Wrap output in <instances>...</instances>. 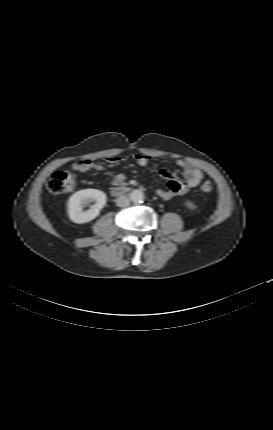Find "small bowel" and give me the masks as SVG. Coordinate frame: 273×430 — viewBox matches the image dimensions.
I'll use <instances>...</instances> for the list:
<instances>
[{"label": "small bowel", "instance_id": "1", "mask_svg": "<svg viewBox=\"0 0 273 430\" xmlns=\"http://www.w3.org/2000/svg\"><path fill=\"white\" fill-rule=\"evenodd\" d=\"M135 159L137 164L141 167H146L150 161L149 156L142 154L137 155ZM120 160L121 158L118 156H111L106 159V161L110 164H116L120 162ZM176 164L182 169L184 180H179L176 178L175 173L164 170L162 175L167 180V188H158L155 190L156 195L163 200H169L175 196L185 194L192 188L198 186L203 178L202 170L195 167L194 165L182 159H178ZM90 167H95L99 171L102 169L98 159H83L74 164V168L79 171L86 170ZM124 181L125 176L123 174H116L113 178V183L115 185H120Z\"/></svg>", "mask_w": 273, "mask_h": 430}]
</instances>
